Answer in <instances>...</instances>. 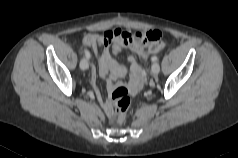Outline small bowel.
Instances as JSON below:
<instances>
[{
  "label": "small bowel",
  "mask_w": 238,
  "mask_h": 158,
  "mask_svg": "<svg viewBox=\"0 0 238 158\" xmlns=\"http://www.w3.org/2000/svg\"><path fill=\"white\" fill-rule=\"evenodd\" d=\"M159 33L158 31L130 33L121 29L107 31L103 34L89 33L82 38V44L94 50L99 66L98 71L101 77L116 79L126 73V69L115 61L110 54V47L114 54L120 53L123 48H128L135 54L141 56L144 49L150 47L151 42L147 39L148 34ZM160 34V33H159ZM129 72L131 76V88L133 91L140 87L144 72L133 56L128 57ZM97 69L92 67V77L95 78ZM112 83L109 82V87ZM99 100L102 102L105 112L108 114L111 104L104 102L99 92Z\"/></svg>",
  "instance_id": "1"
}]
</instances>
